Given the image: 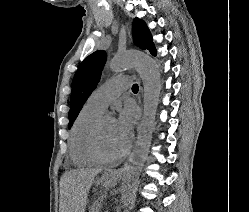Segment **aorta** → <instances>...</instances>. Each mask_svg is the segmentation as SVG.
I'll return each mask as SVG.
<instances>
[{"mask_svg":"<svg viewBox=\"0 0 249 212\" xmlns=\"http://www.w3.org/2000/svg\"><path fill=\"white\" fill-rule=\"evenodd\" d=\"M132 67L137 70L143 82L144 110L136 146L123 170L121 199L124 208L134 196L137 179L149 153L161 91L160 71L149 55L140 51H128L118 54L110 63L114 72Z\"/></svg>","mask_w":249,"mask_h":212,"instance_id":"obj_1","label":"aorta"}]
</instances>
